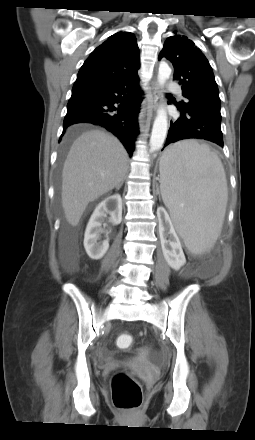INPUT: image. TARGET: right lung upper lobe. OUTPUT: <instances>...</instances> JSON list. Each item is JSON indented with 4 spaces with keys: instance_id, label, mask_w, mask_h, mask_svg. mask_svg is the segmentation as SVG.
I'll return each instance as SVG.
<instances>
[{
    "instance_id": "1",
    "label": "right lung upper lobe",
    "mask_w": 255,
    "mask_h": 440,
    "mask_svg": "<svg viewBox=\"0 0 255 440\" xmlns=\"http://www.w3.org/2000/svg\"><path fill=\"white\" fill-rule=\"evenodd\" d=\"M139 67L134 34L118 32L90 54L80 68L72 93L105 87L137 74Z\"/></svg>"
}]
</instances>
